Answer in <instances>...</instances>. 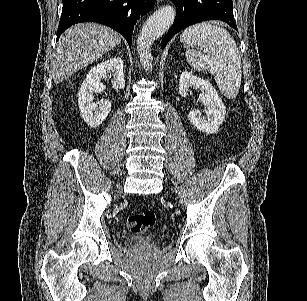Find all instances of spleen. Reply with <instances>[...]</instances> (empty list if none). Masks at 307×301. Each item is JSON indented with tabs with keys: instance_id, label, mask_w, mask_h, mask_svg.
Listing matches in <instances>:
<instances>
[{
	"instance_id": "1",
	"label": "spleen",
	"mask_w": 307,
	"mask_h": 301,
	"mask_svg": "<svg viewBox=\"0 0 307 301\" xmlns=\"http://www.w3.org/2000/svg\"><path fill=\"white\" fill-rule=\"evenodd\" d=\"M181 42L186 46L185 56L192 68L209 70L222 94L236 98L242 80V66L238 46L230 32L222 26L199 22L183 30ZM196 46L206 52L197 50Z\"/></svg>"
}]
</instances>
